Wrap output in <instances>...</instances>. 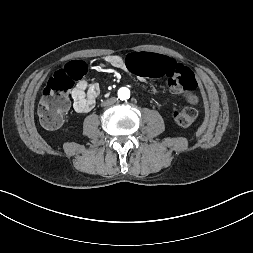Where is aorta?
Returning <instances> with one entry per match:
<instances>
[{"mask_svg":"<svg viewBox=\"0 0 253 253\" xmlns=\"http://www.w3.org/2000/svg\"><path fill=\"white\" fill-rule=\"evenodd\" d=\"M118 96L122 100L128 99L130 97V91H129V89L126 88V87L120 88L119 91H118Z\"/></svg>","mask_w":253,"mask_h":253,"instance_id":"obj_1","label":"aorta"}]
</instances>
